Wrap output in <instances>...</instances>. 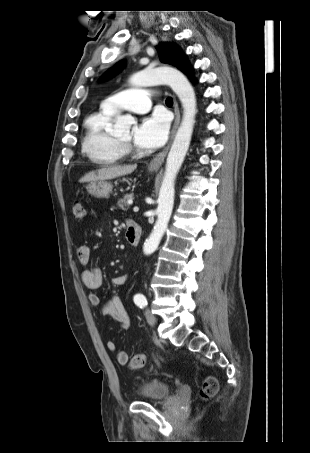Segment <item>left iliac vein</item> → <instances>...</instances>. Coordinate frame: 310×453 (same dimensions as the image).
<instances>
[{"label":"left iliac vein","mask_w":310,"mask_h":453,"mask_svg":"<svg viewBox=\"0 0 310 453\" xmlns=\"http://www.w3.org/2000/svg\"><path fill=\"white\" fill-rule=\"evenodd\" d=\"M145 316H146L147 322H148L150 325H152V326L155 325V323H156V318H155L154 314H153L149 309L146 310Z\"/></svg>","instance_id":"left-iliac-vein-1"}]
</instances>
